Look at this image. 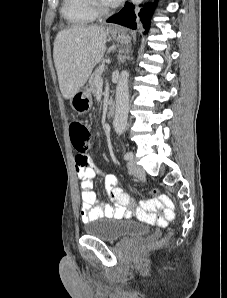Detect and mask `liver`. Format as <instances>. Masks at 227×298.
<instances>
[{"mask_svg": "<svg viewBox=\"0 0 227 298\" xmlns=\"http://www.w3.org/2000/svg\"><path fill=\"white\" fill-rule=\"evenodd\" d=\"M108 31L98 26H74L58 32L53 49L60 91L71 99L87 82L106 52Z\"/></svg>", "mask_w": 227, "mask_h": 298, "instance_id": "6515ba94", "label": "liver"}]
</instances>
